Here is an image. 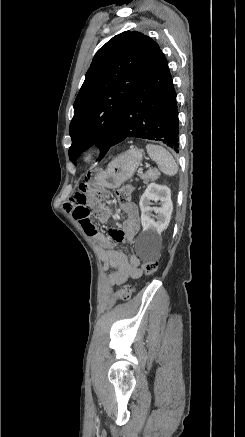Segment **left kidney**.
<instances>
[{"instance_id": "5707ae66", "label": "left kidney", "mask_w": 245, "mask_h": 437, "mask_svg": "<svg viewBox=\"0 0 245 437\" xmlns=\"http://www.w3.org/2000/svg\"><path fill=\"white\" fill-rule=\"evenodd\" d=\"M160 202L159 207H151L152 202ZM141 224L143 233L152 238L160 235L169 225L173 203L171 190L167 186L151 183L140 198ZM155 212L156 215H153Z\"/></svg>"}]
</instances>
